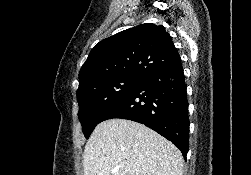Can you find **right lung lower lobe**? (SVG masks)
I'll return each mask as SVG.
<instances>
[{
  "instance_id": "obj_1",
  "label": "right lung lower lobe",
  "mask_w": 251,
  "mask_h": 175,
  "mask_svg": "<svg viewBox=\"0 0 251 175\" xmlns=\"http://www.w3.org/2000/svg\"><path fill=\"white\" fill-rule=\"evenodd\" d=\"M112 118L129 119L146 125L170 140L186 159L190 122L181 62L142 78L102 115L100 121Z\"/></svg>"
}]
</instances>
